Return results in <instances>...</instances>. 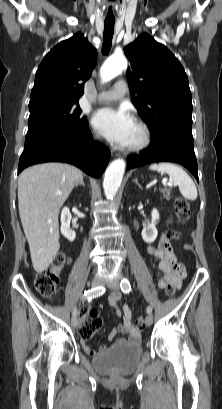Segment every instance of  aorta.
I'll return each mask as SVG.
<instances>
[{
    "label": "aorta",
    "mask_w": 222,
    "mask_h": 409,
    "mask_svg": "<svg viewBox=\"0 0 222 409\" xmlns=\"http://www.w3.org/2000/svg\"><path fill=\"white\" fill-rule=\"evenodd\" d=\"M127 68V61L124 56L113 55L109 57L101 67L100 74L103 82H108L119 75ZM125 161L123 159L114 160L106 169L103 181L105 196L113 199L116 195L124 175Z\"/></svg>",
    "instance_id": "762f6f07"
}]
</instances>
